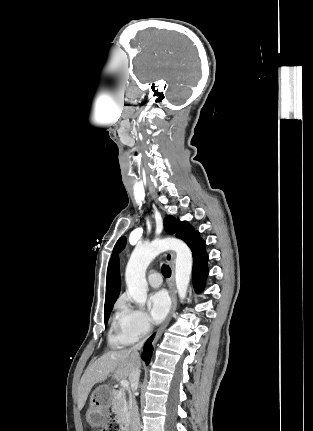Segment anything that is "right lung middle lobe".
I'll return each mask as SVG.
<instances>
[{
	"mask_svg": "<svg viewBox=\"0 0 313 431\" xmlns=\"http://www.w3.org/2000/svg\"><path fill=\"white\" fill-rule=\"evenodd\" d=\"M112 307H113V306H110V307L105 308V313H104V320H105V324H107V322H108L109 314H110V312H111V310H112Z\"/></svg>",
	"mask_w": 313,
	"mask_h": 431,
	"instance_id": "dd1d6c3e",
	"label": "right lung middle lobe"
}]
</instances>
